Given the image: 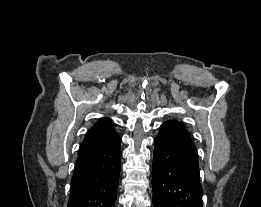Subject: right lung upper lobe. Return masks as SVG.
I'll use <instances>...</instances> for the list:
<instances>
[{"instance_id":"1","label":"right lung upper lobe","mask_w":261,"mask_h":207,"mask_svg":"<svg viewBox=\"0 0 261 207\" xmlns=\"http://www.w3.org/2000/svg\"><path fill=\"white\" fill-rule=\"evenodd\" d=\"M118 137L113 122L109 118L99 119L95 125L90 128L80 146L79 150L89 149Z\"/></svg>"}]
</instances>
